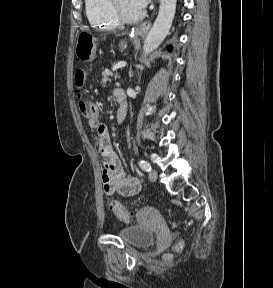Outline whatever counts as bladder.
<instances>
[{
  "instance_id": "1",
  "label": "bladder",
  "mask_w": 273,
  "mask_h": 288,
  "mask_svg": "<svg viewBox=\"0 0 273 288\" xmlns=\"http://www.w3.org/2000/svg\"><path fill=\"white\" fill-rule=\"evenodd\" d=\"M119 236L125 243L137 248H145L155 242V234L140 225L128 226L121 229Z\"/></svg>"
}]
</instances>
